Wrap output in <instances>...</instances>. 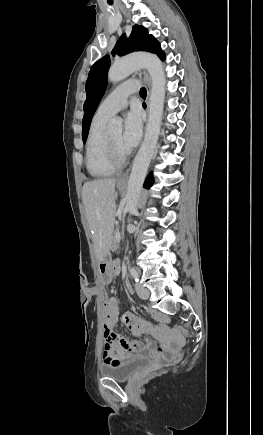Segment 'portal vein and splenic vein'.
Listing matches in <instances>:
<instances>
[{"mask_svg": "<svg viewBox=\"0 0 263 435\" xmlns=\"http://www.w3.org/2000/svg\"><path fill=\"white\" fill-rule=\"evenodd\" d=\"M115 237H116L117 240H120V238H121V234H120L119 231L116 233Z\"/></svg>", "mask_w": 263, "mask_h": 435, "instance_id": "obj_1", "label": "portal vein and splenic vein"}]
</instances>
